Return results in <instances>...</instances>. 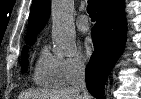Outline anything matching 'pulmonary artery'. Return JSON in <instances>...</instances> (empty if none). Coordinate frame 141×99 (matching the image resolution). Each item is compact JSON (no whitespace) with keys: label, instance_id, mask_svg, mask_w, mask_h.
Segmentation results:
<instances>
[{"label":"pulmonary artery","instance_id":"pulmonary-artery-1","mask_svg":"<svg viewBox=\"0 0 141 99\" xmlns=\"http://www.w3.org/2000/svg\"><path fill=\"white\" fill-rule=\"evenodd\" d=\"M76 27L82 32L89 30V22L85 15H80L76 20Z\"/></svg>","mask_w":141,"mask_h":99}]
</instances>
